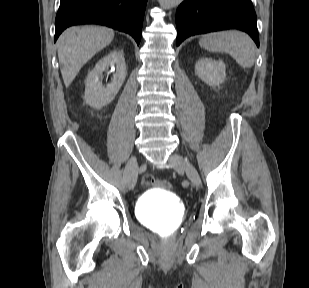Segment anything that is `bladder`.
<instances>
[{"instance_id": "31cf9c89", "label": "bladder", "mask_w": 309, "mask_h": 288, "mask_svg": "<svg viewBox=\"0 0 309 288\" xmlns=\"http://www.w3.org/2000/svg\"><path fill=\"white\" fill-rule=\"evenodd\" d=\"M135 212L140 223L156 231L176 229L185 217L178 198L160 189H151L140 195Z\"/></svg>"}]
</instances>
